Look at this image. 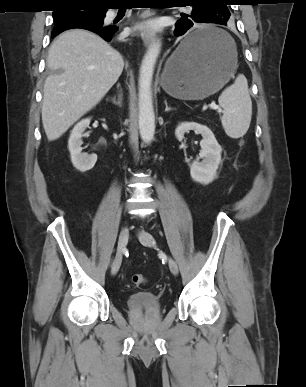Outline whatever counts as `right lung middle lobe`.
<instances>
[{
  "label": "right lung middle lobe",
  "mask_w": 306,
  "mask_h": 387,
  "mask_svg": "<svg viewBox=\"0 0 306 387\" xmlns=\"http://www.w3.org/2000/svg\"><path fill=\"white\" fill-rule=\"evenodd\" d=\"M85 10L79 11L71 8H60L53 12L55 21L53 34H58L68 28L77 25L103 24L106 10L100 7L85 6Z\"/></svg>",
  "instance_id": "right-lung-middle-lobe-1"
}]
</instances>
